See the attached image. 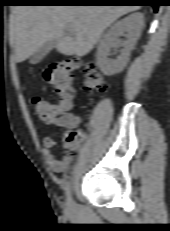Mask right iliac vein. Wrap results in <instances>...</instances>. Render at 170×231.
Masks as SVG:
<instances>
[{
	"label": "right iliac vein",
	"instance_id": "obj_1",
	"mask_svg": "<svg viewBox=\"0 0 170 231\" xmlns=\"http://www.w3.org/2000/svg\"><path fill=\"white\" fill-rule=\"evenodd\" d=\"M75 209L74 201L70 198L67 202L66 210L67 212H72Z\"/></svg>",
	"mask_w": 170,
	"mask_h": 231
}]
</instances>
